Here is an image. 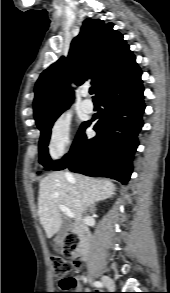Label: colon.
<instances>
[{
  "mask_svg": "<svg viewBox=\"0 0 170 293\" xmlns=\"http://www.w3.org/2000/svg\"><path fill=\"white\" fill-rule=\"evenodd\" d=\"M79 241L74 236H68L62 241V252L59 255L51 256V263L53 266L54 274L59 281V291L55 293H69L67 291L75 288L77 285L76 280L69 275L73 266H80L81 261L74 258L73 263L70 258L75 256L78 249Z\"/></svg>",
  "mask_w": 170,
  "mask_h": 293,
  "instance_id": "colon-1",
  "label": "colon"
}]
</instances>
